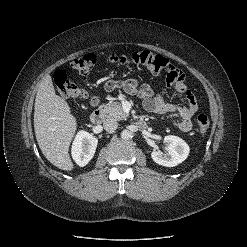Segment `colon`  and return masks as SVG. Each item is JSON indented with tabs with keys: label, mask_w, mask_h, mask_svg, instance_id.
I'll use <instances>...</instances> for the list:
<instances>
[{
	"label": "colon",
	"mask_w": 247,
	"mask_h": 247,
	"mask_svg": "<svg viewBox=\"0 0 247 247\" xmlns=\"http://www.w3.org/2000/svg\"><path fill=\"white\" fill-rule=\"evenodd\" d=\"M115 62L129 66H139L147 69L154 75L165 76L168 83H174L183 78L181 71L173 67L169 61L161 55L150 51H138L129 56H116ZM95 63L93 54H85L74 58L70 66L81 74H86ZM54 82L58 94L63 98L87 97L85 89L75 84L63 70H58L54 74ZM210 126L207 115L199 114L196 118V129L199 134H205Z\"/></svg>",
	"instance_id": "1"
}]
</instances>
